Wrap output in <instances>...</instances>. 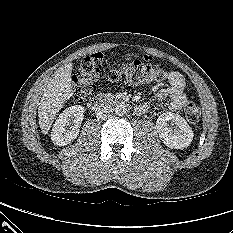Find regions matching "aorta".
<instances>
[{"label":"aorta","mask_w":233,"mask_h":233,"mask_svg":"<svg viewBox=\"0 0 233 233\" xmlns=\"http://www.w3.org/2000/svg\"><path fill=\"white\" fill-rule=\"evenodd\" d=\"M114 111H115L116 115H118V116H123V115H125L126 112H127L126 105H125V104H122V103L117 104V105L115 106V108H114Z\"/></svg>","instance_id":"obj_1"}]
</instances>
